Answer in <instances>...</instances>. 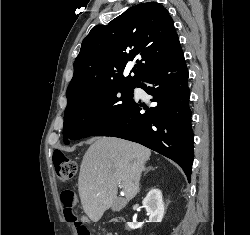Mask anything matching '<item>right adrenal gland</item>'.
Instances as JSON below:
<instances>
[{
    "label": "right adrenal gland",
    "instance_id": "right-adrenal-gland-1",
    "mask_svg": "<svg viewBox=\"0 0 250 235\" xmlns=\"http://www.w3.org/2000/svg\"><path fill=\"white\" fill-rule=\"evenodd\" d=\"M150 170H154V168L152 166H149L147 169H145V173L146 174L147 172H149Z\"/></svg>",
    "mask_w": 250,
    "mask_h": 235
}]
</instances>
